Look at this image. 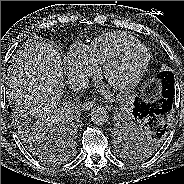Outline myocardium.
<instances>
[{"label":"myocardium","instance_id":"1","mask_svg":"<svg viewBox=\"0 0 184 184\" xmlns=\"http://www.w3.org/2000/svg\"><path fill=\"white\" fill-rule=\"evenodd\" d=\"M136 48H141L145 50V57L143 59V62L139 67V69L130 78H128L121 84L112 85V87L115 88L116 90H119L121 92H126L131 90L134 86H136L139 83V81L142 79L145 72L147 71L148 65L150 63L151 52L149 47L139 41H136L131 44H127L123 46L121 49H119L115 54H113L109 59H107L102 64L101 75L105 77L108 70L113 65H115L120 59H122L128 52Z\"/></svg>","mask_w":184,"mask_h":184}]
</instances>
